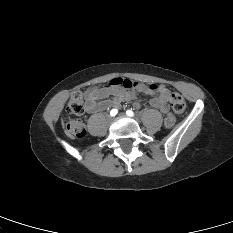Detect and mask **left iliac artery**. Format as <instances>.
I'll list each match as a JSON object with an SVG mask.
<instances>
[{"mask_svg":"<svg viewBox=\"0 0 233 233\" xmlns=\"http://www.w3.org/2000/svg\"><path fill=\"white\" fill-rule=\"evenodd\" d=\"M126 114L130 117L134 116V112L132 110H127Z\"/></svg>","mask_w":233,"mask_h":233,"instance_id":"left-iliac-artery-1","label":"left iliac artery"}]
</instances>
